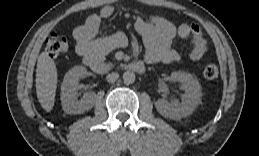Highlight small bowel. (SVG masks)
Here are the masks:
<instances>
[{
	"label": "small bowel",
	"instance_id": "1",
	"mask_svg": "<svg viewBox=\"0 0 259 156\" xmlns=\"http://www.w3.org/2000/svg\"><path fill=\"white\" fill-rule=\"evenodd\" d=\"M114 7L106 5L99 13L92 14L85 23L73 31L76 51L79 55L103 60L110 51L127 45V37L118 32L107 37H97L101 21L110 18ZM135 29L143 37L144 59L147 63H171L180 60L178 51L172 48L176 36L182 39L191 37L189 59L197 62L207 52V43L198 25L181 24L178 28L167 19L151 16L149 20L136 17Z\"/></svg>",
	"mask_w": 259,
	"mask_h": 156
}]
</instances>
